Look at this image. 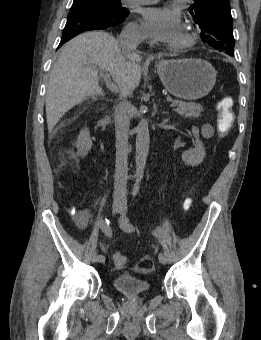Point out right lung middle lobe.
I'll list each match as a JSON object with an SVG mask.
<instances>
[{
    "instance_id": "1",
    "label": "right lung middle lobe",
    "mask_w": 261,
    "mask_h": 340,
    "mask_svg": "<svg viewBox=\"0 0 261 340\" xmlns=\"http://www.w3.org/2000/svg\"><path fill=\"white\" fill-rule=\"evenodd\" d=\"M84 9L98 13L103 18L123 21L129 14L123 8L120 0H91L74 2L70 10Z\"/></svg>"
}]
</instances>
